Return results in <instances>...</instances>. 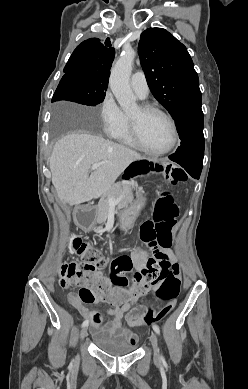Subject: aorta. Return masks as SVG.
Listing matches in <instances>:
<instances>
[{
  "label": "aorta",
  "instance_id": "aorta-1",
  "mask_svg": "<svg viewBox=\"0 0 248 389\" xmlns=\"http://www.w3.org/2000/svg\"><path fill=\"white\" fill-rule=\"evenodd\" d=\"M135 56L136 52L133 49H124L112 68L109 79L111 91L124 111L131 110L137 106L136 97L129 83Z\"/></svg>",
  "mask_w": 248,
  "mask_h": 389
}]
</instances>
